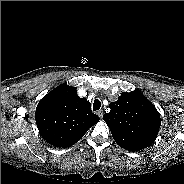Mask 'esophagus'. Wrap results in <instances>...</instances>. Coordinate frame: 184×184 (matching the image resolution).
I'll use <instances>...</instances> for the list:
<instances>
[{
	"label": "esophagus",
	"mask_w": 184,
	"mask_h": 184,
	"mask_svg": "<svg viewBox=\"0 0 184 184\" xmlns=\"http://www.w3.org/2000/svg\"><path fill=\"white\" fill-rule=\"evenodd\" d=\"M97 114H98V116L100 118H102L103 117V114H104V111L103 110H99Z\"/></svg>",
	"instance_id": "esophagus-1"
}]
</instances>
